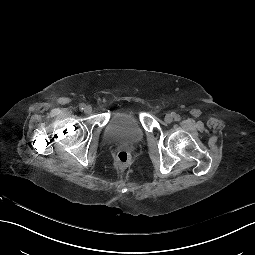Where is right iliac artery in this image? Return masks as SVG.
<instances>
[{
    "instance_id": "right-iliac-artery-1",
    "label": "right iliac artery",
    "mask_w": 255,
    "mask_h": 255,
    "mask_svg": "<svg viewBox=\"0 0 255 255\" xmlns=\"http://www.w3.org/2000/svg\"><path fill=\"white\" fill-rule=\"evenodd\" d=\"M85 108V104L84 103H81L80 105H79V109L80 110H83Z\"/></svg>"
}]
</instances>
